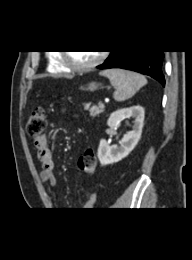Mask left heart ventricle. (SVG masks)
<instances>
[{
	"label": "left heart ventricle",
	"mask_w": 192,
	"mask_h": 260,
	"mask_svg": "<svg viewBox=\"0 0 192 260\" xmlns=\"http://www.w3.org/2000/svg\"><path fill=\"white\" fill-rule=\"evenodd\" d=\"M98 57L94 51H74L69 53L70 60L77 65H86Z\"/></svg>",
	"instance_id": "obj_1"
}]
</instances>
